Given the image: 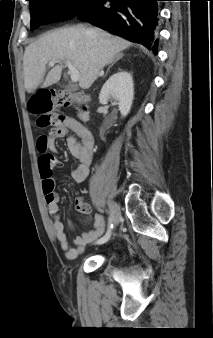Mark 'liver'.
<instances>
[{
	"mask_svg": "<svg viewBox=\"0 0 213 338\" xmlns=\"http://www.w3.org/2000/svg\"><path fill=\"white\" fill-rule=\"evenodd\" d=\"M131 45L132 43L125 39L83 25L48 32L25 49V89L31 93L41 83L42 87H48L60 80L62 66L57 65L49 71L43 81L46 65L50 61H70L79 71L80 87L88 89L100 74V70Z\"/></svg>",
	"mask_w": 213,
	"mask_h": 338,
	"instance_id": "obj_1",
	"label": "liver"
}]
</instances>
